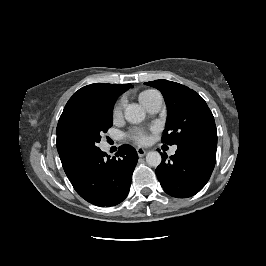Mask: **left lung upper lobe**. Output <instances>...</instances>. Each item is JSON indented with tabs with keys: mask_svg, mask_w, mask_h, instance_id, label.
<instances>
[{
	"mask_svg": "<svg viewBox=\"0 0 266 266\" xmlns=\"http://www.w3.org/2000/svg\"><path fill=\"white\" fill-rule=\"evenodd\" d=\"M145 84L157 88L167 105L163 143L177 146L197 142L217 143L213 114L197 92L168 80H155Z\"/></svg>",
	"mask_w": 266,
	"mask_h": 266,
	"instance_id": "obj_1",
	"label": "left lung upper lobe"
}]
</instances>
